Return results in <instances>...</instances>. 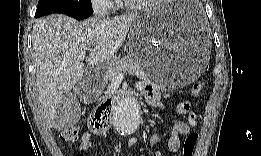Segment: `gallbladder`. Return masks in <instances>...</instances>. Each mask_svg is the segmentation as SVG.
<instances>
[{
    "instance_id": "bac80fb5",
    "label": "gallbladder",
    "mask_w": 261,
    "mask_h": 156,
    "mask_svg": "<svg viewBox=\"0 0 261 156\" xmlns=\"http://www.w3.org/2000/svg\"><path fill=\"white\" fill-rule=\"evenodd\" d=\"M63 98L58 105L56 113H54V127L58 129H69L78 122L80 118V109L82 108L79 104L78 98L75 94L66 93L63 94Z\"/></svg>"
}]
</instances>
